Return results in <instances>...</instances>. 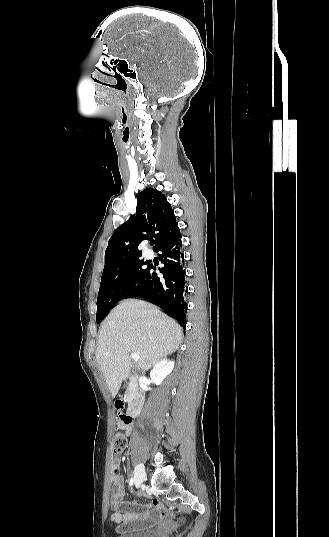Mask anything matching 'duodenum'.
I'll return each instance as SVG.
<instances>
[{"label": "duodenum", "instance_id": "obj_1", "mask_svg": "<svg viewBox=\"0 0 329 537\" xmlns=\"http://www.w3.org/2000/svg\"><path fill=\"white\" fill-rule=\"evenodd\" d=\"M144 403V390L138 377L132 378V393L127 407L128 415L133 418L138 416ZM118 408H123L122 403H117Z\"/></svg>", "mask_w": 329, "mask_h": 537}]
</instances>
